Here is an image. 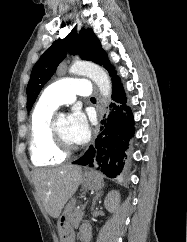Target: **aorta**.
<instances>
[{
  "label": "aorta",
  "instance_id": "obj_1",
  "mask_svg": "<svg viewBox=\"0 0 187 242\" xmlns=\"http://www.w3.org/2000/svg\"><path fill=\"white\" fill-rule=\"evenodd\" d=\"M69 72L88 76L97 84L103 97H109L111 93V81L108 74L100 66L90 62L78 61L71 65Z\"/></svg>",
  "mask_w": 187,
  "mask_h": 242
}]
</instances>
